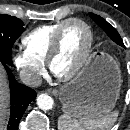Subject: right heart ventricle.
Returning <instances> with one entry per match:
<instances>
[{"label": "right heart ventricle", "mask_w": 130, "mask_h": 130, "mask_svg": "<svg viewBox=\"0 0 130 130\" xmlns=\"http://www.w3.org/2000/svg\"><path fill=\"white\" fill-rule=\"evenodd\" d=\"M64 21L39 26L22 39L26 51L36 60L45 62L53 36Z\"/></svg>", "instance_id": "obj_1"}]
</instances>
